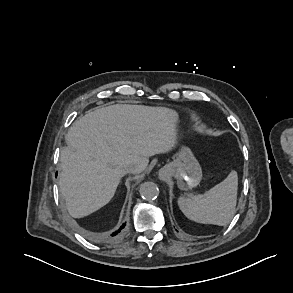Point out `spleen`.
<instances>
[{"instance_id":"1","label":"spleen","mask_w":293,"mask_h":293,"mask_svg":"<svg viewBox=\"0 0 293 293\" xmlns=\"http://www.w3.org/2000/svg\"><path fill=\"white\" fill-rule=\"evenodd\" d=\"M238 175L231 171L219 184L202 195H182L178 205L183 214L198 223L225 226L236 212Z\"/></svg>"}]
</instances>
